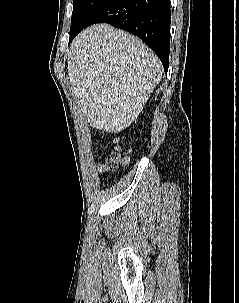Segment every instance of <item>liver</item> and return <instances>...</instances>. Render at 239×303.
<instances>
[{
	"mask_svg": "<svg viewBox=\"0 0 239 303\" xmlns=\"http://www.w3.org/2000/svg\"><path fill=\"white\" fill-rule=\"evenodd\" d=\"M68 74L72 94L90 125L116 133L136 120L161 81L162 65L137 37L97 24L72 42Z\"/></svg>",
	"mask_w": 239,
	"mask_h": 303,
	"instance_id": "obj_1",
	"label": "liver"
}]
</instances>
